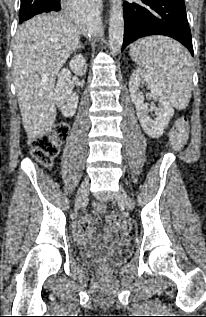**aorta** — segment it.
I'll list each match as a JSON object with an SVG mask.
<instances>
[{"instance_id":"obj_1","label":"aorta","mask_w":206,"mask_h":317,"mask_svg":"<svg viewBox=\"0 0 206 317\" xmlns=\"http://www.w3.org/2000/svg\"><path fill=\"white\" fill-rule=\"evenodd\" d=\"M109 20V48L112 55H117L121 50L124 37V18L122 0H111ZM80 26L91 33L98 31L99 22L89 11L81 12L77 19Z\"/></svg>"}]
</instances>
